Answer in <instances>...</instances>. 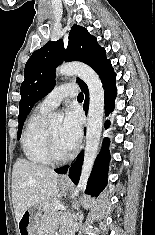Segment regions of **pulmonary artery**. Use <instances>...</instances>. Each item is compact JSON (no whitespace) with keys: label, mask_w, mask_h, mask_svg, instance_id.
Masks as SVG:
<instances>
[{"label":"pulmonary artery","mask_w":155,"mask_h":235,"mask_svg":"<svg viewBox=\"0 0 155 235\" xmlns=\"http://www.w3.org/2000/svg\"><path fill=\"white\" fill-rule=\"evenodd\" d=\"M77 95V86L75 84H63L51 91L38 105V108L43 111H50L60 105L67 97Z\"/></svg>","instance_id":"1"}]
</instances>
